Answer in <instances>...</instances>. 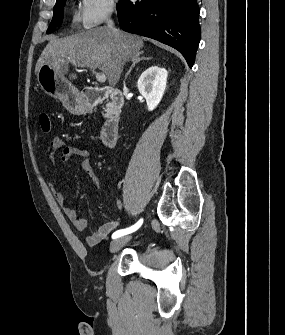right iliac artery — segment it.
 <instances>
[{"label": "right iliac artery", "mask_w": 285, "mask_h": 335, "mask_svg": "<svg viewBox=\"0 0 285 335\" xmlns=\"http://www.w3.org/2000/svg\"><path fill=\"white\" fill-rule=\"evenodd\" d=\"M142 223H143V219H140L135 225H133L129 228L121 229V230H118V231L114 232L113 235H112V238L116 239L118 237L130 234V233L136 231L142 225Z\"/></svg>", "instance_id": "obj_1"}]
</instances>
